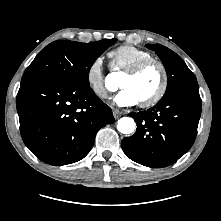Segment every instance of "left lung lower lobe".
Returning a JSON list of instances; mask_svg holds the SVG:
<instances>
[{
    "mask_svg": "<svg viewBox=\"0 0 221 221\" xmlns=\"http://www.w3.org/2000/svg\"><path fill=\"white\" fill-rule=\"evenodd\" d=\"M198 89H182L163 97L154 107L130 113L137 123L122 149L131 160L151 168L176 162L193 145L201 115Z\"/></svg>",
    "mask_w": 221,
    "mask_h": 221,
    "instance_id": "left-lung-lower-lobe-1",
    "label": "left lung lower lobe"
}]
</instances>
